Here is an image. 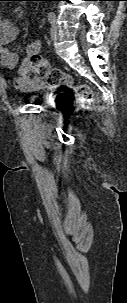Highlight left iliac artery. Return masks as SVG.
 Segmentation results:
<instances>
[{
  "instance_id": "obj_1",
  "label": "left iliac artery",
  "mask_w": 127,
  "mask_h": 303,
  "mask_svg": "<svg viewBox=\"0 0 127 303\" xmlns=\"http://www.w3.org/2000/svg\"><path fill=\"white\" fill-rule=\"evenodd\" d=\"M48 20H49L50 23H54L55 20H56V15H55V13L49 12V13H48Z\"/></svg>"
}]
</instances>
